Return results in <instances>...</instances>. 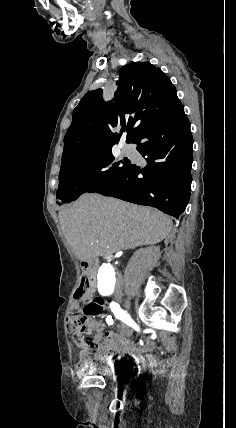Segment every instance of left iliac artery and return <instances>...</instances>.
Masks as SVG:
<instances>
[{
  "label": "left iliac artery",
  "instance_id": "left-iliac-artery-1",
  "mask_svg": "<svg viewBox=\"0 0 236 428\" xmlns=\"http://www.w3.org/2000/svg\"><path fill=\"white\" fill-rule=\"evenodd\" d=\"M100 294L104 296V295H110V294H112V292H111V291H108V292H101Z\"/></svg>",
  "mask_w": 236,
  "mask_h": 428
}]
</instances>
